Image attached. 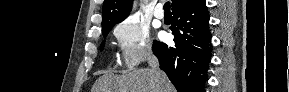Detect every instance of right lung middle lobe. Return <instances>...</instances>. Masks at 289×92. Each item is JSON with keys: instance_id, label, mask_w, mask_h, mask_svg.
Wrapping results in <instances>:
<instances>
[{"instance_id": "1", "label": "right lung middle lobe", "mask_w": 289, "mask_h": 92, "mask_svg": "<svg viewBox=\"0 0 289 92\" xmlns=\"http://www.w3.org/2000/svg\"><path fill=\"white\" fill-rule=\"evenodd\" d=\"M114 25H115V24H112V25H109V26H107V27H105V28H102V29H103V36H104V38H106V36L108 35L109 31L112 29V27H113ZM104 45H105V42H103V43L101 44V47H100L101 50L104 48Z\"/></svg>"}]
</instances>
